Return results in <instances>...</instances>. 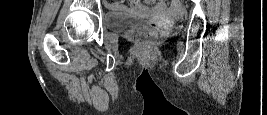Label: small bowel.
Instances as JSON below:
<instances>
[{
    "mask_svg": "<svg viewBox=\"0 0 267 115\" xmlns=\"http://www.w3.org/2000/svg\"><path fill=\"white\" fill-rule=\"evenodd\" d=\"M111 6L121 12L142 16L161 15L168 11L178 12L180 10L178 2L168 3L166 1H158L153 3V1L150 0L146 1V4L133 1L128 7L124 6L121 2H112Z\"/></svg>",
    "mask_w": 267,
    "mask_h": 115,
    "instance_id": "obj_1",
    "label": "small bowel"
}]
</instances>
